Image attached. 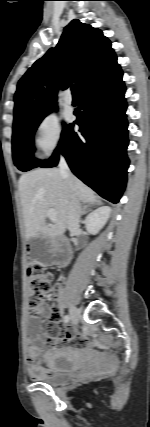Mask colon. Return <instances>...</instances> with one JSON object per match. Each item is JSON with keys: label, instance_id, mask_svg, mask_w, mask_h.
<instances>
[{"label": "colon", "instance_id": "5ec220e1", "mask_svg": "<svg viewBox=\"0 0 150 427\" xmlns=\"http://www.w3.org/2000/svg\"><path fill=\"white\" fill-rule=\"evenodd\" d=\"M27 275L28 302L34 314L37 315L41 303L50 296L53 290L52 284L54 275L51 272L45 271L43 267L36 262H30L28 264Z\"/></svg>", "mask_w": 150, "mask_h": 427}]
</instances>
